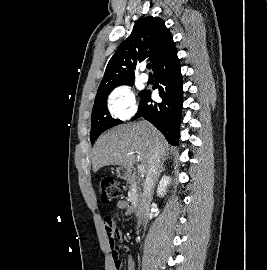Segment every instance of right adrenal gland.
Segmentation results:
<instances>
[{
    "label": "right adrenal gland",
    "mask_w": 267,
    "mask_h": 270,
    "mask_svg": "<svg viewBox=\"0 0 267 270\" xmlns=\"http://www.w3.org/2000/svg\"><path fill=\"white\" fill-rule=\"evenodd\" d=\"M165 161L163 160L162 162H161V164H160V167H159V176H160V174L163 172V171H165V169H166V167H165Z\"/></svg>",
    "instance_id": "right-adrenal-gland-1"
}]
</instances>
